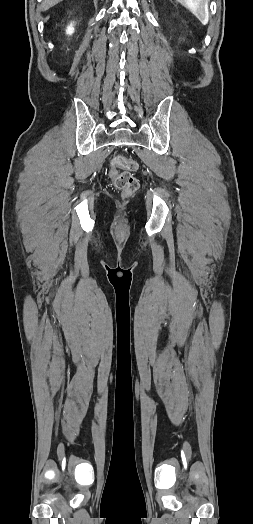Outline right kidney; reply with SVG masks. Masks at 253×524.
<instances>
[{
	"instance_id": "ca27d5eb",
	"label": "right kidney",
	"mask_w": 253,
	"mask_h": 524,
	"mask_svg": "<svg viewBox=\"0 0 253 524\" xmlns=\"http://www.w3.org/2000/svg\"><path fill=\"white\" fill-rule=\"evenodd\" d=\"M73 31H74V28H73V26H72V24H71V25L68 27V29H67V34H72Z\"/></svg>"
}]
</instances>
